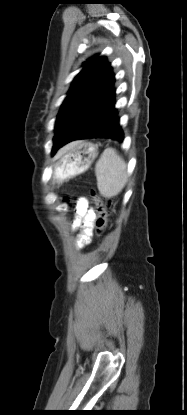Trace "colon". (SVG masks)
I'll return each instance as SVG.
<instances>
[{
	"label": "colon",
	"mask_w": 187,
	"mask_h": 415,
	"mask_svg": "<svg viewBox=\"0 0 187 415\" xmlns=\"http://www.w3.org/2000/svg\"><path fill=\"white\" fill-rule=\"evenodd\" d=\"M92 197L95 203V208H96V213H97L95 229L98 234H101L109 226V218H110L113 204L110 199L103 198L96 193H93Z\"/></svg>",
	"instance_id": "1"
}]
</instances>
